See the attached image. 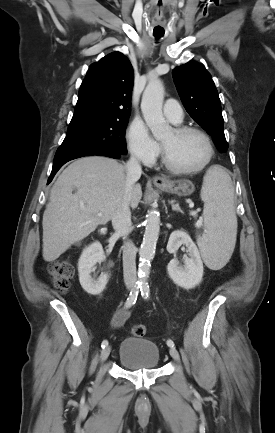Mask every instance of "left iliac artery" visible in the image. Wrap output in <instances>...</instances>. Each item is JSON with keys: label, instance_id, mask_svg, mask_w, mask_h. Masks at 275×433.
<instances>
[{"label": "left iliac artery", "instance_id": "obj_1", "mask_svg": "<svg viewBox=\"0 0 275 433\" xmlns=\"http://www.w3.org/2000/svg\"><path fill=\"white\" fill-rule=\"evenodd\" d=\"M140 291H141V295L144 299H147L149 297L150 290H149V286L147 284H143L140 287ZM167 345L169 347H174V342L169 339V340H167Z\"/></svg>", "mask_w": 275, "mask_h": 433}]
</instances>
